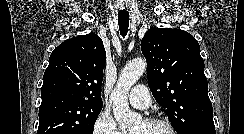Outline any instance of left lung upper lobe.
<instances>
[{
  "label": "left lung upper lobe",
  "instance_id": "5c2ea615",
  "mask_svg": "<svg viewBox=\"0 0 244 134\" xmlns=\"http://www.w3.org/2000/svg\"><path fill=\"white\" fill-rule=\"evenodd\" d=\"M153 97L178 134L214 129L204 61L197 40L188 32L151 28L141 41Z\"/></svg>",
  "mask_w": 244,
  "mask_h": 134
}]
</instances>
